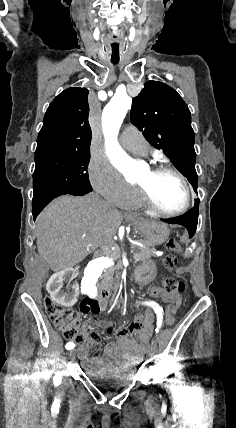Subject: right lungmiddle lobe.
Instances as JSON below:
<instances>
[{
  "label": "right lung middle lobe",
  "instance_id": "dd1d6c3e",
  "mask_svg": "<svg viewBox=\"0 0 236 428\" xmlns=\"http://www.w3.org/2000/svg\"><path fill=\"white\" fill-rule=\"evenodd\" d=\"M90 151L35 152L33 199L65 190L92 189L88 178Z\"/></svg>",
  "mask_w": 236,
  "mask_h": 428
}]
</instances>
